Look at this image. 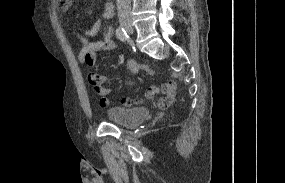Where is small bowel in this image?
Listing matches in <instances>:
<instances>
[{
	"instance_id": "c3829d8e",
	"label": "small bowel",
	"mask_w": 285,
	"mask_h": 183,
	"mask_svg": "<svg viewBox=\"0 0 285 183\" xmlns=\"http://www.w3.org/2000/svg\"><path fill=\"white\" fill-rule=\"evenodd\" d=\"M71 7V0H63V5L61 6V11L66 13ZM113 5L111 2H106L104 4L102 17L94 24L91 29L82 30L80 32H74L73 36L81 43L82 47L79 52V61L85 66H93L98 58V56L106 51H111L115 48V43L113 41V31L110 26H105L103 22L110 19L113 16ZM99 30L103 32V38L101 40L92 42L88 39L89 36H94ZM88 80L93 87L94 91L99 95V105L101 107H106L109 105L108 95L111 89L106 87L105 81L106 76L97 72H90L88 74ZM177 84L175 81H167L160 87L153 86L149 88L146 93V98H151L156 94H161L162 97L159 104L163 108L170 106L174 100L175 91ZM130 98H124L123 103L126 104V100Z\"/></svg>"
}]
</instances>
